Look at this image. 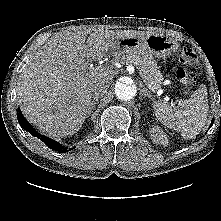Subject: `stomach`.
<instances>
[{"instance_id": "0dacf381", "label": "stomach", "mask_w": 221, "mask_h": 221, "mask_svg": "<svg viewBox=\"0 0 221 221\" xmlns=\"http://www.w3.org/2000/svg\"><path fill=\"white\" fill-rule=\"evenodd\" d=\"M179 45L178 42L162 34L147 36H132L119 40L117 49L121 52L145 53L150 57L166 58L173 54Z\"/></svg>"}]
</instances>
